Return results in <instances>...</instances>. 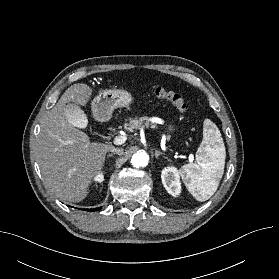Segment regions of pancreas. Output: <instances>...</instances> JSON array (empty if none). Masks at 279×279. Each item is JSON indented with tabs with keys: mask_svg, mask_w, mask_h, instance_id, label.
Masks as SVG:
<instances>
[{
	"mask_svg": "<svg viewBox=\"0 0 279 279\" xmlns=\"http://www.w3.org/2000/svg\"><path fill=\"white\" fill-rule=\"evenodd\" d=\"M142 124H145V126L151 125L152 128H156V124L153 122H149V119L145 116L140 118H129L128 122L125 123V129L133 132L134 130L140 129Z\"/></svg>",
	"mask_w": 279,
	"mask_h": 279,
	"instance_id": "1",
	"label": "pancreas"
}]
</instances>
